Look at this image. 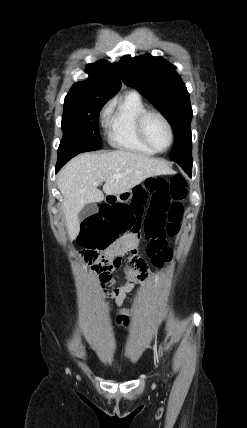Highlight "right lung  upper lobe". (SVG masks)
Masks as SVG:
<instances>
[{
    "instance_id": "obj_1",
    "label": "right lung upper lobe",
    "mask_w": 247,
    "mask_h": 428,
    "mask_svg": "<svg viewBox=\"0 0 247 428\" xmlns=\"http://www.w3.org/2000/svg\"><path fill=\"white\" fill-rule=\"evenodd\" d=\"M86 72L89 74L88 79L75 83L67 95L89 94L109 100L121 88L117 64L98 61L90 64Z\"/></svg>"
}]
</instances>
